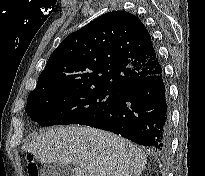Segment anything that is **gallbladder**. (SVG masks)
<instances>
[{"label": "gallbladder", "mask_w": 205, "mask_h": 176, "mask_svg": "<svg viewBox=\"0 0 205 176\" xmlns=\"http://www.w3.org/2000/svg\"><path fill=\"white\" fill-rule=\"evenodd\" d=\"M72 173L68 164L46 163L40 169L41 176H72Z\"/></svg>", "instance_id": "obj_1"}]
</instances>
